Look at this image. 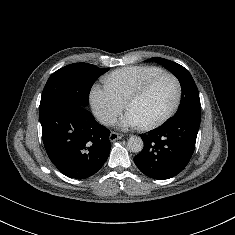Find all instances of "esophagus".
Instances as JSON below:
<instances>
[{"mask_svg":"<svg viewBox=\"0 0 235 235\" xmlns=\"http://www.w3.org/2000/svg\"><path fill=\"white\" fill-rule=\"evenodd\" d=\"M122 137H123L122 134H119V133H116V132H111L110 136H109V139H110L111 142H114L118 139H121Z\"/></svg>","mask_w":235,"mask_h":235,"instance_id":"1","label":"esophagus"}]
</instances>
